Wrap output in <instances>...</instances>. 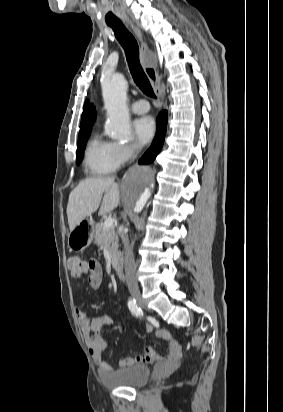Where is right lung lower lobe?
<instances>
[{
  "label": "right lung lower lobe",
  "mask_w": 283,
  "mask_h": 412,
  "mask_svg": "<svg viewBox=\"0 0 283 412\" xmlns=\"http://www.w3.org/2000/svg\"><path fill=\"white\" fill-rule=\"evenodd\" d=\"M167 117L168 112L166 110L160 112L157 117V131L155 138L152 142L150 148L144 153L142 158L139 160V164H149L154 161L158 153L160 152L167 129Z\"/></svg>",
  "instance_id": "right-lung-lower-lobe-1"
}]
</instances>
